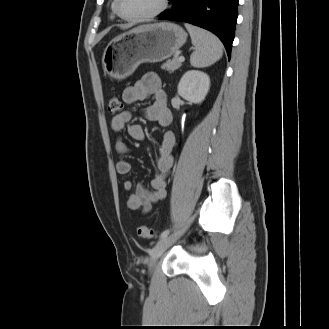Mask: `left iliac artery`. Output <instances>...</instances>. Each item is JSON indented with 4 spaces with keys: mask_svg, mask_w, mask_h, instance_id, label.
Instances as JSON below:
<instances>
[{
    "mask_svg": "<svg viewBox=\"0 0 329 329\" xmlns=\"http://www.w3.org/2000/svg\"><path fill=\"white\" fill-rule=\"evenodd\" d=\"M169 233H170V229L164 230L160 235V239L165 238L166 236H168Z\"/></svg>",
    "mask_w": 329,
    "mask_h": 329,
    "instance_id": "1",
    "label": "left iliac artery"
}]
</instances>
